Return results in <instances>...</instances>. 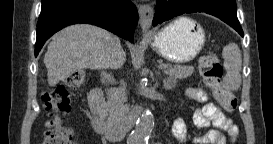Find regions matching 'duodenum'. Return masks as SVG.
<instances>
[{"mask_svg": "<svg viewBox=\"0 0 273 144\" xmlns=\"http://www.w3.org/2000/svg\"><path fill=\"white\" fill-rule=\"evenodd\" d=\"M141 113V109L133 112L130 116L129 122L135 123ZM89 121L94 132L110 142L121 141L128 130V122L116 124L107 118L103 92L100 87L92 88L89 93Z\"/></svg>", "mask_w": 273, "mask_h": 144, "instance_id": "duodenum-1", "label": "duodenum"}]
</instances>
